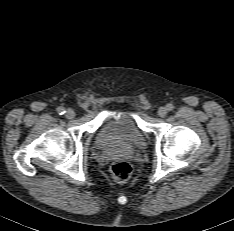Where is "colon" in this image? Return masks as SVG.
I'll use <instances>...</instances> for the list:
<instances>
[{
  "label": "colon",
  "instance_id": "obj_1",
  "mask_svg": "<svg viewBox=\"0 0 234 231\" xmlns=\"http://www.w3.org/2000/svg\"><path fill=\"white\" fill-rule=\"evenodd\" d=\"M113 174L118 182H126L131 175V167L126 162H119L113 166Z\"/></svg>",
  "mask_w": 234,
  "mask_h": 231
}]
</instances>
